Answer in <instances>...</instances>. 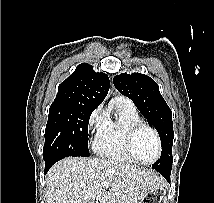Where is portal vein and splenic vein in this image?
I'll return each mask as SVG.
<instances>
[{
	"label": "portal vein and splenic vein",
	"instance_id": "portal-vein-and-splenic-vein-1",
	"mask_svg": "<svg viewBox=\"0 0 214 203\" xmlns=\"http://www.w3.org/2000/svg\"><path fill=\"white\" fill-rule=\"evenodd\" d=\"M109 185H110V182H108V181H104V182H103V186H104L105 188H108Z\"/></svg>",
	"mask_w": 214,
	"mask_h": 203
}]
</instances>
